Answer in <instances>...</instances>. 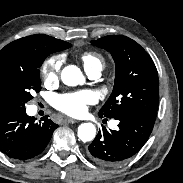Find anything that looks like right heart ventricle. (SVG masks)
<instances>
[{
  "label": "right heart ventricle",
  "instance_id": "e07e8e85",
  "mask_svg": "<svg viewBox=\"0 0 183 183\" xmlns=\"http://www.w3.org/2000/svg\"><path fill=\"white\" fill-rule=\"evenodd\" d=\"M81 62L84 66V69L87 71L100 68L104 66L103 59L94 52H85L81 55Z\"/></svg>",
  "mask_w": 183,
  "mask_h": 183
}]
</instances>
